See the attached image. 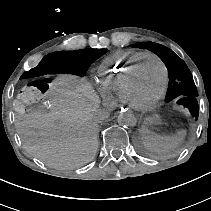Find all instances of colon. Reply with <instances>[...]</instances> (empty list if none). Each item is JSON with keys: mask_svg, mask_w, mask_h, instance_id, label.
<instances>
[{"mask_svg": "<svg viewBox=\"0 0 211 211\" xmlns=\"http://www.w3.org/2000/svg\"><path fill=\"white\" fill-rule=\"evenodd\" d=\"M50 85L51 80L47 77L23 85L19 89L15 100L16 111L24 113L30 105L40 101L49 90Z\"/></svg>", "mask_w": 211, "mask_h": 211, "instance_id": "obj_1", "label": "colon"}]
</instances>
